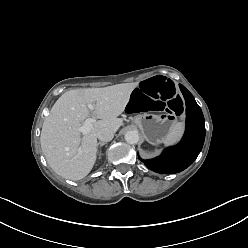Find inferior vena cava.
<instances>
[{"label":"inferior vena cava","mask_w":248,"mask_h":248,"mask_svg":"<svg viewBox=\"0 0 248 248\" xmlns=\"http://www.w3.org/2000/svg\"><path fill=\"white\" fill-rule=\"evenodd\" d=\"M114 137V131L110 128H102L97 132V138L102 142H109Z\"/></svg>","instance_id":"1"}]
</instances>
